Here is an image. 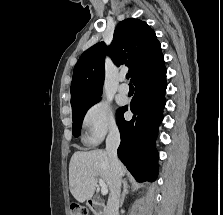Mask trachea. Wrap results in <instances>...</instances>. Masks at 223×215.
Returning <instances> with one entry per match:
<instances>
[{"label":"trachea","mask_w":223,"mask_h":215,"mask_svg":"<svg viewBox=\"0 0 223 215\" xmlns=\"http://www.w3.org/2000/svg\"><path fill=\"white\" fill-rule=\"evenodd\" d=\"M126 78L129 79V74L127 73Z\"/></svg>","instance_id":"obj_1"}]
</instances>
